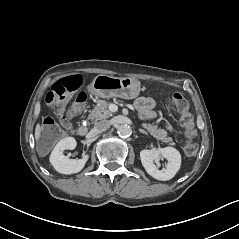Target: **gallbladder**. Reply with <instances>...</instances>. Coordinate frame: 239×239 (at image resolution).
Returning a JSON list of instances; mask_svg holds the SVG:
<instances>
[{"label":"gallbladder","mask_w":239,"mask_h":239,"mask_svg":"<svg viewBox=\"0 0 239 239\" xmlns=\"http://www.w3.org/2000/svg\"><path fill=\"white\" fill-rule=\"evenodd\" d=\"M42 148H44V149H46V150L48 149L45 145H41V146L38 145V146H37V151H38V154H39V155H41V150H42Z\"/></svg>","instance_id":"1"}]
</instances>
